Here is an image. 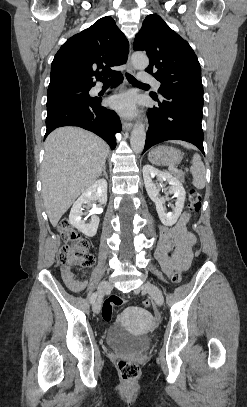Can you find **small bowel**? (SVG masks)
Masks as SVG:
<instances>
[{"label":"small bowel","mask_w":247,"mask_h":407,"mask_svg":"<svg viewBox=\"0 0 247 407\" xmlns=\"http://www.w3.org/2000/svg\"><path fill=\"white\" fill-rule=\"evenodd\" d=\"M189 215L183 212L173 227L160 226L157 257L163 272L171 276L175 270H186L192 261L196 237L186 228ZM65 284L74 292H80L88 285L87 280H77L70 267L61 268Z\"/></svg>","instance_id":"1"}]
</instances>
